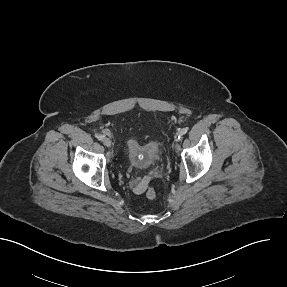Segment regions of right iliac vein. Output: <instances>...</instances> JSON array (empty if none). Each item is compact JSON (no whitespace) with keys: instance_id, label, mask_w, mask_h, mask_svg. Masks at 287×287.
Here are the masks:
<instances>
[{"instance_id":"63e3f726","label":"right iliac vein","mask_w":287,"mask_h":287,"mask_svg":"<svg viewBox=\"0 0 287 287\" xmlns=\"http://www.w3.org/2000/svg\"><path fill=\"white\" fill-rule=\"evenodd\" d=\"M103 144L106 146V147H111L112 145V142L109 138H104L103 139Z\"/></svg>"}]
</instances>
